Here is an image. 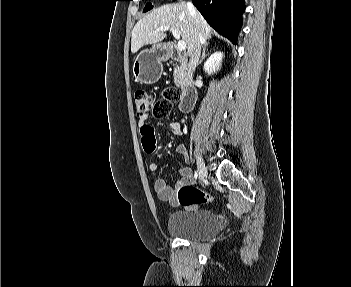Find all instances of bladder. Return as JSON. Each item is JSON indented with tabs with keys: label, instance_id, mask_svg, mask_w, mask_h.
I'll return each mask as SVG.
<instances>
[{
	"label": "bladder",
	"instance_id": "bladder-1",
	"mask_svg": "<svg viewBox=\"0 0 351 287\" xmlns=\"http://www.w3.org/2000/svg\"><path fill=\"white\" fill-rule=\"evenodd\" d=\"M220 229L219 217L211 210H178L170 213L168 232L178 238L204 240L214 236Z\"/></svg>",
	"mask_w": 351,
	"mask_h": 287
}]
</instances>
